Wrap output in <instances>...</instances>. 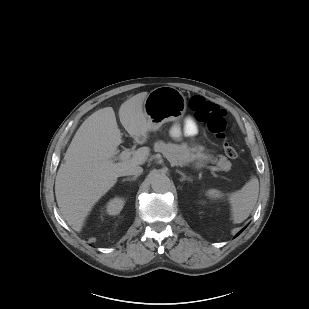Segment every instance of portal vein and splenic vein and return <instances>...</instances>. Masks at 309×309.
Returning a JSON list of instances; mask_svg holds the SVG:
<instances>
[{
    "mask_svg": "<svg viewBox=\"0 0 309 309\" xmlns=\"http://www.w3.org/2000/svg\"><path fill=\"white\" fill-rule=\"evenodd\" d=\"M131 156V152H129L128 150L122 151L120 153V155L118 156L120 160H127L129 159ZM207 169L211 170V171H219L220 169L215 167V166H206Z\"/></svg>",
    "mask_w": 309,
    "mask_h": 309,
    "instance_id": "1",
    "label": "portal vein and splenic vein"
}]
</instances>
